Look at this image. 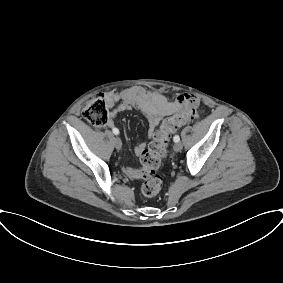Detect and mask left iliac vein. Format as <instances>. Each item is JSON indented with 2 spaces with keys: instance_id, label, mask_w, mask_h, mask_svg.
I'll use <instances>...</instances> for the list:
<instances>
[{
  "instance_id": "1",
  "label": "left iliac vein",
  "mask_w": 283,
  "mask_h": 283,
  "mask_svg": "<svg viewBox=\"0 0 283 283\" xmlns=\"http://www.w3.org/2000/svg\"><path fill=\"white\" fill-rule=\"evenodd\" d=\"M182 148H183V146H182V143H181V142H176V143L174 144V147H173V149H174L175 152H180V151L182 150Z\"/></svg>"
}]
</instances>
